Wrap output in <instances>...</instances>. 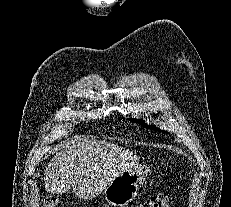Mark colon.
Here are the masks:
<instances>
[{"instance_id": "5ec220e1", "label": "colon", "mask_w": 231, "mask_h": 207, "mask_svg": "<svg viewBox=\"0 0 231 207\" xmlns=\"http://www.w3.org/2000/svg\"><path fill=\"white\" fill-rule=\"evenodd\" d=\"M45 207H64L62 201L58 199H50ZM136 207H170L168 198L165 195H156L150 198L147 202Z\"/></svg>"}]
</instances>
